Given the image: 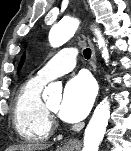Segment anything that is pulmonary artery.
I'll return each mask as SVG.
<instances>
[{
	"mask_svg": "<svg viewBox=\"0 0 131 151\" xmlns=\"http://www.w3.org/2000/svg\"><path fill=\"white\" fill-rule=\"evenodd\" d=\"M76 55L74 48L60 50L38 71L37 77L48 82L70 72L76 65Z\"/></svg>",
	"mask_w": 131,
	"mask_h": 151,
	"instance_id": "obj_1",
	"label": "pulmonary artery"
}]
</instances>
